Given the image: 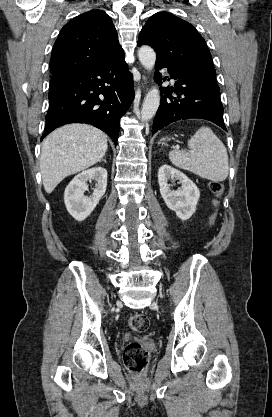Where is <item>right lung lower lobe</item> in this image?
Returning a JSON list of instances; mask_svg holds the SVG:
<instances>
[{"mask_svg": "<svg viewBox=\"0 0 272 417\" xmlns=\"http://www.w3.org/2000/svg\"><path fill=\"white\" fill-rule=\"evenodd\" d=\"M133 98L132 75L122 49L94 68L53 75L41 140L59 126L78 122L103 130L116 144L119 120Z\"/></svg>", "mask_w": 272, "mask_h": 417, "instance_id": "right-lung-lower-lobe-1", "label": "right lung lower lobe"}]
</instances>
